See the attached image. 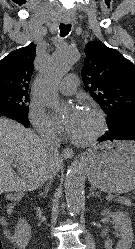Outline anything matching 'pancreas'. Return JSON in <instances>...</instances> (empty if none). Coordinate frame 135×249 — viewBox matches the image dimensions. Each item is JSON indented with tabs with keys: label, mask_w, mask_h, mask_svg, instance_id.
Wrapping results in <instances>:
<instances>
[{
	"label": "pancreas",
	"mask_w": 135,
	"mask_h": 249,
	"mask_svg": "<svg viewBox=\"0 0 135 249\" xmlns=\"http://www.w3.org/2000/svg\"><path fill=\"white\" fill-rule=\"evenodd\" d=\"M117 201L120 203V204H123V205H126V206H132L133 203L130 201L129 198H126V197H119L117 199Z\"/></svg>",
	"instance_id": "1"
}]
</instances>
